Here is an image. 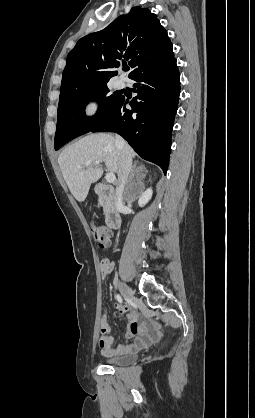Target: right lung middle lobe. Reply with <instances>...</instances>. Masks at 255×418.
I'll use <instances>...</instances> for the list:
<instances>
[{"label":"right lung middle lobe","mask_w":255,"mask_h":418,"mask_svg":"<svg viewBox=\"0 0 255 418\" xmlns=\"http://www.w3.org/2000/svg\"><path fill=\"white\" fill-rule=\"evenodd\" d=\"M120 95H109L107 83L90 85L60 93L57 111V127L55 134V150L68 141L88 133L103 122L119 101ZM95 100L99 109L95 116H85V106Z\"/></svg>","instance_id":"1"}]
</instances>
